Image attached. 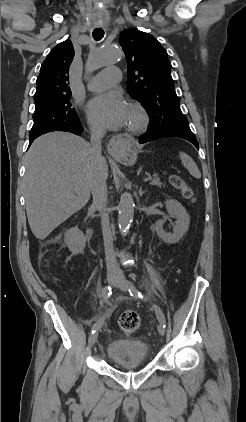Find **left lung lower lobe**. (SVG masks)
Masks as SVG:
<instances>
[{"instance_id": "obj_1", "label": "left lung lower lobe", "mask_w": 246, "mask_h": 422, "mask_svg": "<svg viewBox=\"0 0 246 422\" xmlns=\"http://www.w3.org/2000/svg\"><path fill=\"white\" fill-rule=\"evenodd\" d=\"M164 137H179L188 140L199 149L196 137L189 127H165L155 130H148L139 137V143L143 144L149 141L157 140Z\"/></svg>"}]
</instances>
